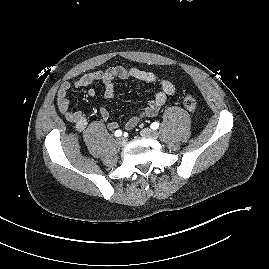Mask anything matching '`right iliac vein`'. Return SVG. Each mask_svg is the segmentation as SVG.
I'll list each match as a JSON object with an SVG mask.
<instances>
[{"mask_svg":"<svg viewBox=\"0 0 269 269\" xmlns=\"http://www.w3.org/2000/svg\"><path fill=\"white\" fill-rule=\"evenodd\" d=\"M117 143L119 145L125 146L127 144V139H125L124 137H120L117 139Z\"/></svg>","mask_w":269,"mask_h":269,"instance_id":"obj_1","label":"right iliac vein"}]
</instances>
